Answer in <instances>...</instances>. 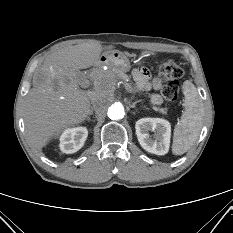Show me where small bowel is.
Listing matches in <instances>:
<instances>
[{
    "instance_id": "small-bowel-1",
    "label": "small bowel",
    "mask_w": 233,
    "mask_h": 233,
    "mask_svg": "<svg viewBox=\"0 0 233 233\" xmlns=\"http://www.w3.org/2000/svg\"><path fill=\"white\" fill-rule=\"evenodd\" d=\"M133 77L137 82V85L142 91H152L151 102L155 105H160L162 103V98L158 91L161 88V82L152 78L150 72L143 67L137 68L133 71Z\"/></svg>"
}]
</instances>
